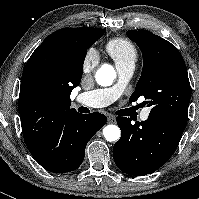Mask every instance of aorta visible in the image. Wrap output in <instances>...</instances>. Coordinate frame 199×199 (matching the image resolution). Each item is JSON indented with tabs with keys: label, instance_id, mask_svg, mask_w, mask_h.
Listing matches in <instances>:
<instances>
[{
	"label": "aorta",
	"instance_id": "1",
	"mask_svg": "<svg viewBox=\"0 0 199 199\" xmlns=\"http://www.w3.org/2000/svg\"><path fill=\"white\" fill-rule=\"evenodd\" d=\"M116 77L114 68L110 65L102 66L96 73V81L101 86H110ZM103 135L109 142L117 141L121 132L118 126L110 124L103 129Z\"/></svg>",
	"mask_w": 199,
	"mask_h": 199
}]
</instances>
